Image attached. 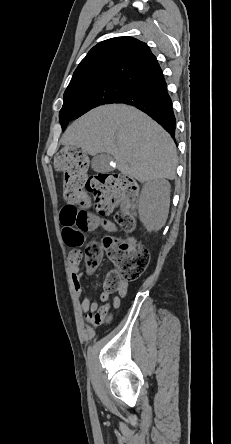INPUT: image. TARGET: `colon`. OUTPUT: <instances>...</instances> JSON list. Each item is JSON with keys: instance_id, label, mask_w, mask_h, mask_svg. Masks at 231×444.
I'll list each match as a JSON object with an SVG mask.
<instances>
[{"instance_id": "colon-1", "label": "colon", "mask_w": 231, "mask_h": 444, "mask_svg": "<svg viewBox=\"0 0 231 444\" xmlns=\"http://www.w3.org/2000/svg\"><path fill=\"white\" fill-rule=\"evenodd\" d=\"M55 167L63 174V195L67 201L61 210L62 225L79 233L96 229L101 216L112 213L117 207L116 221L126 230L135 225L133 209L138 198L137 182L126 175L103 173L87 176V157L74 148H62L55 157ZM91 196L95 211L86 208ZM114 264L104 280V291L113 293L123 282L134 281L146 271L150 253L132 240L107 236L100 242H89L84 251V261L92 271L100 263L103 253Z\"/></svg>"}]
</instances>
